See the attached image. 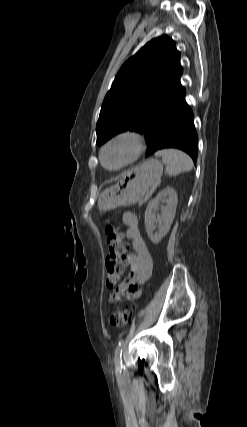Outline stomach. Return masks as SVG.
Segmentation results:
<instances>
[{
    "label": "stomach",
    "instance_id": "0dacf381",
    "mask_svg": "<svg viewBox=\"0 0 247 427\" xmlns=\"http://www.w3.org/2000/svg\"><path fill=\"white\" fill-rule=\"evenodd\" d=\"M162 173L163 165L156 158L145 160L140 165L125 171L114 186L100 194L98 209L106 212L140 202L150 187L161 178Z\"/></svg>",
    "mask_w": 247,
    "mask_h": 427
}]
</instances>
